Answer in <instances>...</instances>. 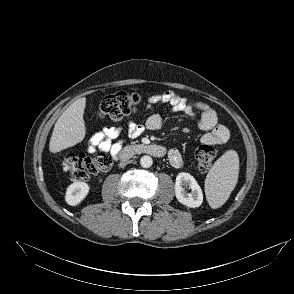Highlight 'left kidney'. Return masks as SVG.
<instances>
[{"instance_id": "obj_1", "label": "left kidney", "mask_w": 294, "mask_h": 294, "mask_svg": "<svg viewBox=\"0 0 294 294\" xmlns=\"http://www.w3.org/2000/svg\"><path fill=\"white\" fill-rule=\"evenodd\" d=\"M183 186H188L191 189L187 193ZM175 195L177 200L191 208L199 207L203 202V193L195 178L189 173H179L175 182Z\"/></svg>"}]
</instances>
